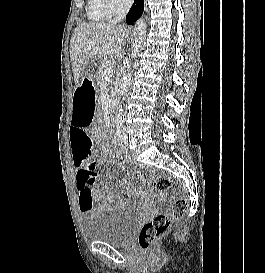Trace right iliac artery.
I'll use <instances>...</instances> for the list:
<instances>
[{
  "label": "right iliac artery",
  "instance_id": "82829eb1",
  "mask_svg": "<svg viewBox=\"0 0 265 273\" xmlns=\"http://www.w3.org/2000/svg\"><path fill=\"white\" fill-rule=\"evenodd\" d=\"M116 129H117V131H116V134H115L114 139H113V143H114L115 145H116L117 142L119 141V138H120V135H121V125H117V126H116Z\"/></svg>",
  "mask_w": 265,
  "mask_h": 273
}]
</instances>
